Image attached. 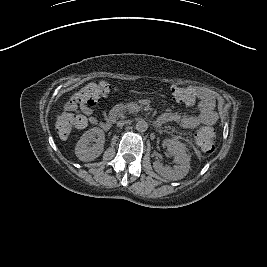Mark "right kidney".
<instances>
[{
    "label": "right kidney",
    "mask_w": 267,
    "mask_h": 267,
    "mask_svg": "<svg viewBox=\"0 0 267 267\" xmlns=\"http://www.w3.org/2000/svg\"><path fill=\"white\" fill-rule=\"evenodd\" d=\"M90 142H95L92 146ZM105 134L101 128L94 127L87 130L75 146L76 157L84 162H89L99 157L104 150Z\"/></svg>",
    "instance_id": "1"
}]
</instances>
